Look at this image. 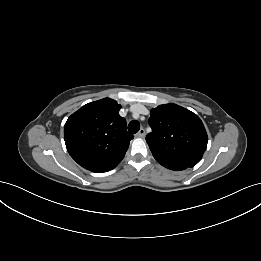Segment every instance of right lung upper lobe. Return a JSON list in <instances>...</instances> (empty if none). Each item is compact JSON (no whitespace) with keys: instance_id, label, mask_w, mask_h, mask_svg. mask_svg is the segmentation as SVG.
I'll use <instances>...</instances> for the list:
<instances>
[{"instance_id":"obj_1","label":"right lung upper lobe","mask_w":261,"mask_h":261,"mask_svg":"<svg viewBox=\"0 0 261 261\" xmlns=\"http://www.w3.org/2000/svg\"><path fill=\"white\" fill-rule=\"evenodd\" d=\"M120 108L115 100L104 98L84 105L66 121L67 151L83 168L110 166L124 158L134 136L126 131Z\"/></svg>"}]
</instances>
